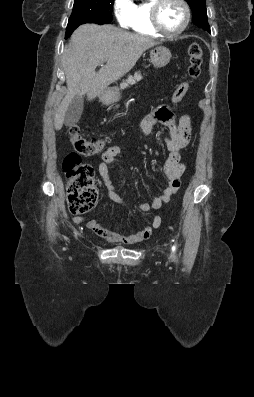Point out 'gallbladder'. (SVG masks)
I'll return each mask as SVG.
<instances>
[{"instance_id": "1", "label": "gallbladder", "mask_w": 254, "mask_h": 397, "mask_svg": "<svg viewBox=\"0 0 254 397\" xmlns=\"http://www.w3.org/2000/svg\"><path fill=\"white\" fill-rule=\"evenodd\" d=\"M84 100L76 96L70 102L64 117V124L67 127L74 126L80 119L83 111Z\"/></svg>"}]
</instances>
